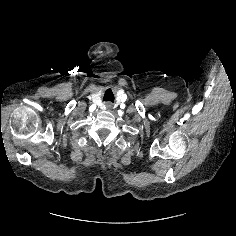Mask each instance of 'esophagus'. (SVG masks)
Segmentation results:
<instances>
[{
	"instance_id": "esophagus-1",
	"label": "esophagus",
	"mask_w": 236,
	"mask_h": 236,
	"mask_svg": "<svg viewBox=\"0 0 236 236\" xmlns=\"http://www.w3.org/2000/svg\"><path fill=\"white\" fill-rule=\"evenodd\" d=\"M107 108H111V105H110V104H107Z\"/></svg>"
}]
</instances>
